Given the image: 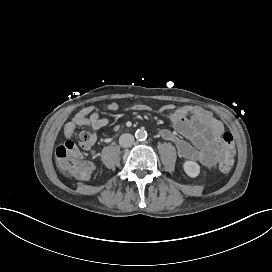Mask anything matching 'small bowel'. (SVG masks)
I'll use <instances>...</instances> for the list:
<instances>
[{
	"instance_id": "1",
	"label": "small bowel",
	"mask_w": 272,
	"mask_h": 272,
	"mask_svg": "<svg viewBox=\"0 0 272 272\" xmlns=\"http://www.w3.org/2000/svg\"><path fill=\"white\" fill-rule=\"evenodd\" d=\"M119 107V103L110 102L104 105L103 109L117 111ZM133 108L138 111L148 109L143 104L134 105ZM80 110L86 115L84 126H89L92 129L97 141L98 131L108 125V119L102 117L94 106H86ZM160 111L161 113H169L167 119L175 129V131L161 130L160 137L173 142L178 155L182 159L198 161L206 167H213L216 158L207 153V148L210 145H216L220 141L224 129L222 122L216 119L209 110L197 105H184L176 108L173 104H166ZM65 127L69 128L73 133L76 129L71 120L66 123ZM82 149L90 156L96 155L94 146Z\"/></svg>"
}]
</instances>
